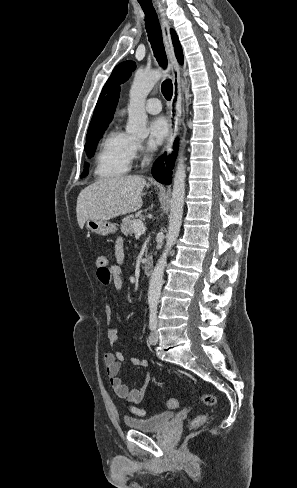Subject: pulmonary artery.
I'll list each match as a JSON object with an SVG mask.
<instances>
[{"instance_id":"e3ab8cb5","label":"pulmonary artery","mask_w":297,"mask_h":488,"mask_svg":"<svg viewBox=\"0 0 297 488\" xmlns=\"http://www.w3.org/2000/svg\"><path fill=\"white\" fill-rule=\"evenodd\" d=\"M145 109L150 114H157L161 111L162 106L157 98H149L145 104Z\"/></svg>"}]
</instances>
